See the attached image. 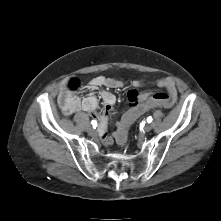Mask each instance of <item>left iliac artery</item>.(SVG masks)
I'll use <instances>...</instances> for the list:
<instances>
[{
    "label": "left iliac artery",
    "mask_w": 221,
    "mask_h": 221,
    "mask_svg": "<svg viewBox=\"0 0 221 221\" xmlns=\"http://www.w3.org/2000/svg\"><path fill=\"white\" fill-rule=\"evenodd\" d=\"M152 120H153V119H152V117H151V116H149V117L147 118V122H148V123H151V122H152Z\"/></svg>",
    "instance_id": "obj_1"
}]
</instances>
